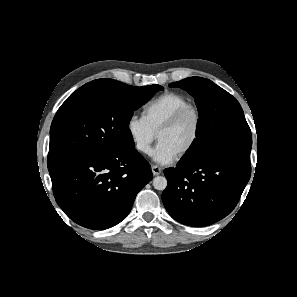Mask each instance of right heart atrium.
Instances as JSON below:
<instances>
[{"label": "right heart atrium", "mask_w": 297, "mask_h": 297, "mask_svg": "<svg viewBox=\"0 0 297 297\" xmlns=\"http://www.w3.org/2000/svg\"><path fill=\"white\" fill-rule=\"evenodd\" d=\"M126 129L134 149L143 155L150 154L156 133L143 116L131 115L127 120Z\"/></svg>", "instance_id": "d8ad5b80"}]
</instances>
